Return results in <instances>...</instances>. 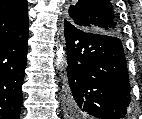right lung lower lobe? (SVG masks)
<instances>
[{"instance_id":"98d812e1","label":"right lung lower lobe","mask_w":142,"mask_h":119,"mask_svg":"<svg viewBox=\"0 0 142 119\" xmlns=\"http://www.w3.org/2000/svg\"><path fill=\"white\" fill-rule=\"evenodd\" d=\"M28 32L0 44V119H19Z\"/></svg>"}]
</instances>
